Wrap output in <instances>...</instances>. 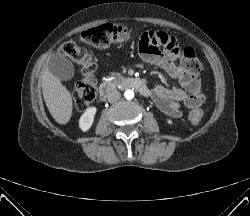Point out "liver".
Returning a JSON list of instances; mask_svg holds the SVG:
<instances>
[{
	"instance_id": "liver-1",
	"label": "liver",
	"mask_w": 250,
	"mask_h": 216,
	"mask_svg": "<svg viewBox=\"0 0 250 216\" xmlns=\"http://www.w3.org/2000/svg\"><path fill=\"white\" fill-rule=\"evenodd\" d=\"M42 92L46 106L59 124H66L72 116L71 93L46 67L42 73Z\"/></svg>"
}]
</instances>
